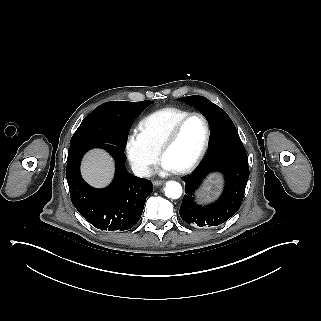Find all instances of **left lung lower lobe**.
<instances>
[{
	"label": "left lung lower lobe",
	"instance_id": "0a47b994",
	"mask_svg": "<svg viewBox=\"0 0 321 321\" xmlns=\"http://www.w3.org/2000/svg\"><path fill=\"white\" fill-rule=\"evenodd\" d=\"M214 171L224 174V191L216 202L198 205L194 201V192ZM248 178V157L237 131L211 138L207 155L191 175L183 178L186 195L179 210L181 218L189 225L202 228L224 223L240 208Z\"/></svg>",
	"mask_w": 321,
	"mask_h": 321
}]
</instances>
